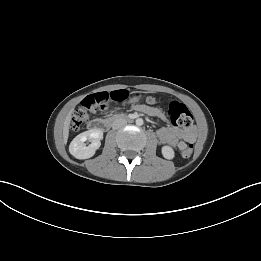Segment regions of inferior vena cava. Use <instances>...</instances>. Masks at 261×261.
Instances as JSON below:
<instances>
[{
	"mask_svg": "<svg viewBox=\"0 0 261 261\" xmlns=\"http://www.w3.org/2000/svg\"><path fill=\"white\" fill-rule=\"evenodd\" d=\"M126 123H127V122H126L125 119H123V118H118V119H116V120L113 121V123H112V128H113V129H118V128L124 126Z\"/></svg>",
	"mask_w": 261,
	"mask_h": 261,
	"instance_id": "inferior-vena-cava-1",
	"label": "inferior vena cava"
}]
</instances>
